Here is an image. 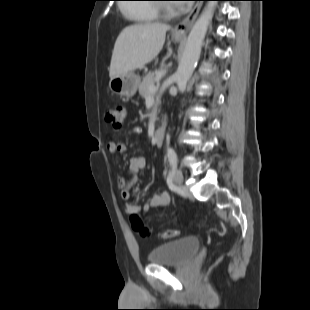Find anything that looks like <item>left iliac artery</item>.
I'll return each instance as SVG.
<instances>
[{
	"mask_svg": "<svg viewBox=\"0 0 310 310\" xmlns=\"http://www.w3.org/2000/svg\"><path fill=\"white\" fill-rule=\"evenodd\" d=\"M168 160L170 163V166L172 168V171H174L176 165H177V155L173 148L168 149Z\"/></svg>",
	"mask_w": 310,
	"mask_h": 310,
	"instance_id": "obj_1",
	"label": "left iliac artery"
}]
</instances>
